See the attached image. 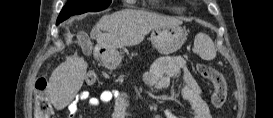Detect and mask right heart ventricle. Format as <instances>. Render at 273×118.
<instances>
[{
	"label": "right heart ventricle",
	"instance_id": "1",
	"mask_svg": "<svg viewBox=\"0 0 273 118\" xmlns=\"http://www.w3.org/2000/svg\"><path fill=\"white\" fill-rule=\"evenodd\" d=\"M175 10H176L177 12L182 11V9H181L180 7H176Z\"/></svg>",
	"mask_w": 273,
	"mask_h": 118
}]
</instances>
